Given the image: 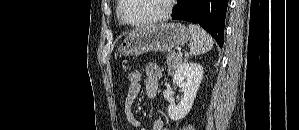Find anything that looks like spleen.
Returning a JSON list of instances; mask_svg holds the SVG:
<instances>
[{
  "label": "spleen",
  "mask_w": 299,
  "mask_h": 130,
  "mask_svg": "<svg viewBox=\"0 0 299 130\" xmlns=\"http://www.w3.org/2000/svg\"><path fill=\"white\" fill-rule=\"evenodd\" d=\"M191 32L190 54L193 56L201 55L213 48L212 37L199 25L189 24Z\"/></svg>",
  "instance_id": "spleen-1"
}]
</instances>
